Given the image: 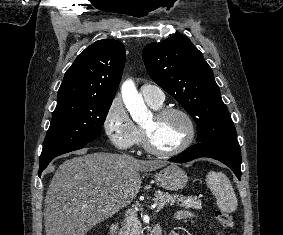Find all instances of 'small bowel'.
<instances>
[{
    "instance_id": "small-bowel-1",
    "label": "small bowel",
    "mask_w": 283,
    "mask_h": 235,
    "mask_svg": "<svg viewBox=\"0 0 283 235\" xmlns=\"http://www.w3.org/2000/svg\"><path fill=\"white\" fill-rule=\"evenodd\" d=\"M190 217V215L187 212H180L177 214V219H185Z\"/></svg>"
}]
</instances>
